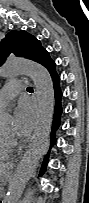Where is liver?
Instances as JSON below:
<instances>
[{
	"label": "liver",
	"instance_id": "1",
	"mask_svg": "<svg viewBox=\"0 0 89 203\" xmlns=\"http://www.w3.org/2000/svg\"><path fill=\"white\" fill-rule=\"evenodd\" d=\"M10 167V164L2 162L0 164V177L1 180H3L5 177H7V169Z\"/></svg>",
	"mask_w": 89,
	"mask_h": 203
}]
</instances>
